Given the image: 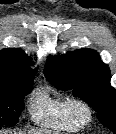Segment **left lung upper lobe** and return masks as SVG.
Here are the masks:
<instances>
[{
    "instance_id": "5c2ea615",
    "label": "left lung upper lobe",
    "mask_w": 116,
    "mask_h": 134,
    "mask_svg": "<svg viewBox=\"0 0 116 134\" xmlns=\"http://www.w3.org/2000/svg\"><path fill=\"white\" fill-rule=\"evenodd\" d=\"M44 75L61 90H72L74 96L87 102L99 121L116 134V94L110 85V70L98 53L79 49L48 59Z\"/></svg>"
}]
</instances>
